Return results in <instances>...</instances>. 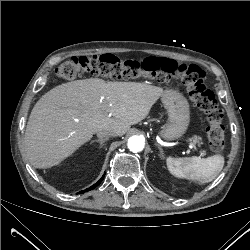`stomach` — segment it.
I'll use <instances>...</instances> for the list:
<instances>
[{"mask_svg":"<svg viewBox=\"0 0 250 250\" xmlns=\"http://www.w3.org/2000/svg\"><path fill=\"white\" fill-rule=\"evenodd\" d=\"M162 102L168 113V121L159 134L166 140L178 139L185 134L190 123L189 103L176 91L164 92Z\"/></svg>","mask_w":250,"mask_h":250,"instance_id":"0dacf381","label":"stomach"}]
</instances>
